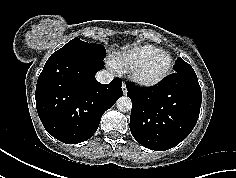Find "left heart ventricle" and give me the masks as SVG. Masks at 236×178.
<instances>
[{
  "mask_svg": "<svg viewBox=\"0 0 236 178\" xmlns=\"http://www.w3.org/2000/svg\"><path fill=\"white\" fill-rule=\"evenodd\" d=\"M169 65V58L167 56H159L151 60L144 68V75L149 78H156L160 76Z\"/></svg>",
  "mask_w": 236,
  "mask_h": 178,
  "instance_id": "left-heart-ventricle-1",
  "label": "left heart ventricle"
}]
</instances>
